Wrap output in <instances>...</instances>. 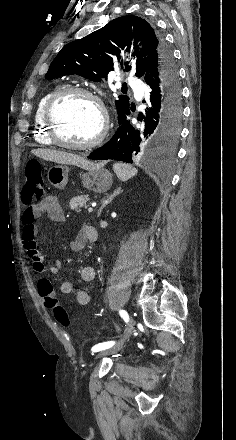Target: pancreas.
<instances>
[{
  "label": "pancreas",
  "mask_w": 236,
  "mask_h": 440,
  "mask_svg": "<svg viewBox=\"0 0 236 440\" xmlns=\"http://www.w3.org/2000/svg\"><path fill=\"white\" fill-rule=\"evenodd\" d=\"M87 201H88L87 195H80L77 197H73L69 202V206L72 210H75L78 212V211H80V209L82 207L86 208Z\"/></svg>",
  "instance_id": "cf45deb5"
}]
</instances>
